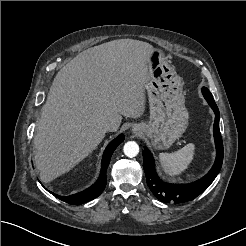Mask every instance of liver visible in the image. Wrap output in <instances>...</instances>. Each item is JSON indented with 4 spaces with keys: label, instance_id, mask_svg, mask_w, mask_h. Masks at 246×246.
Segmentation results:
<instances>
[{
    "label": "liver",
    "instance_id": "liver-1",
    "mask_svg": "<svg viewBox=\"0 0 246 246\" xmlns=\"http://www.w3.org/2000/svg\"><path fill=\"white\" fill-rule=\"evenodd\" d=\"M154 47L118 39L79 53L56 75L33 142L40 178L48 183L73 168L105 137L102 124L138 118L145 110Z\"/></svg>",
    "mask_w": 246,
    "mask_h": 246
}]
</instances>
